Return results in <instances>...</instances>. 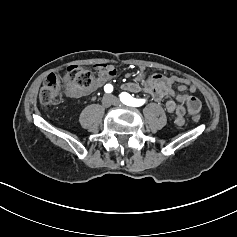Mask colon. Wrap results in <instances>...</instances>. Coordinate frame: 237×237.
I'll list each match as a JSON object with an SVG mask.
<instances>
[{"mask_svg": "<svg viewBox=\"0 0 237 237\" xmlns=\"http://www.w3.org/2000/svg\"><path fill=\"white\" fill-rule=\"evenodd\" d=\"M66 84L75 89H85L94 82L93 74L77 66H71L66 72ZM62 81L55 74H50L45 79L39 93V101L43 106L56 105L62 100L61 96ZM192 119L195 122L200 120L198 112L193 113Z\"/></svg>", "mask_w": 237, "mask_h": 237, "instance_id": "obj_1", "label": "colon"}]
</instances>
